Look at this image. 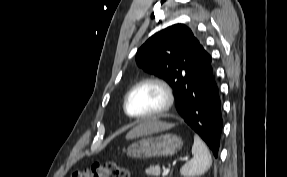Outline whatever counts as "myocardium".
Wrapping results in <instances>:
<instances>
[{"label":"myocardium","mask_w":287,"mask_h":177,"mask_svg":"<svg viewBox=\"0 0 287 177\" xmlns=\"http://www.w3.org/2000/svg\"><path fill=\"white\" fill-rule=\"evenodd\" d=\"M145 85H154L162 91L163 96H164L163 104L158 110L154 111L153 113H149L146 115H140V116L132 115L129 112V108H128L129 98H130L131 94L137 88H139L141 86H145ZM174 100H175L174 92H173L171 86L165 80L158 78V77H149V78H145V79L137 82L135 85H133L129 89V91L127 92L125 99H124V110H125V113L132 119L146 120V119L159 117V116L163 115L164 113H166L167 111H169L174 104Z\"/></svg>","instance_id":"f54148a6"}]
</instances>
